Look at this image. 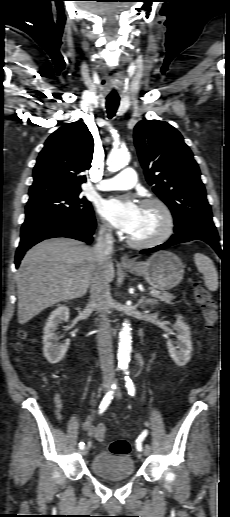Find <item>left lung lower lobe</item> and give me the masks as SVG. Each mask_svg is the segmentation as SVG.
Instances as JSON below:
<instances>
[{"label":"left lung lower lobe","mask_w":230,"mask_h":517,"mask_svg":"<svg viewBox=\"0 0 230 517\" xmlns=\"http://www.w3.org/2000/svg\"><path fill=\"white\" fill-rule=\"evenodd\" d=\"M192 240H202L208 243L217 252V254L222 257V249L219 245V237L212 220L202 224L193 225L190 229L184 232L174 234L168 242L150 249H144L140 253L145 254L155 252L175 244L189 242Z\"/></svg>","instance_id":"0a47b994"}]
</instances>
